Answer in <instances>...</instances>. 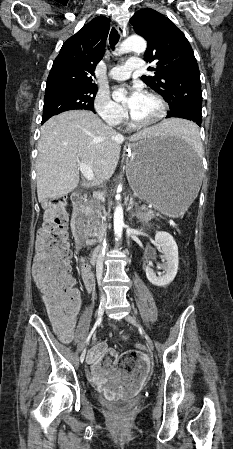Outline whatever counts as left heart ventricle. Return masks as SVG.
Instances as JSON below:
<instances>
[{
    "instance_id": "1",
    "label": "left heart ventricle",
    "mask_w": 233,
    "mask_h": 449,
    "mask_svg": "<svg viewBox=\"0 0 233 449\" xmlns=\"http://www.w3.org/2000/svg\"><path fill=\"white\" fill-rule=\"evenodd\" d=\"M159 110L158 103L144 94L131 113L139 121H149L158 115Z\"/></svg>"
}]
</instances>
